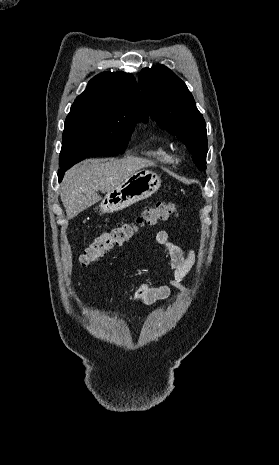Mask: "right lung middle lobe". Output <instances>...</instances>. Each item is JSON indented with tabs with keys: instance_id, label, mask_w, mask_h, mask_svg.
<instances>
[{
	"instance_id": "dd1d6c3e",
	"label": "right lung middle lobe",
	"mask_w": 279,
	"mask_h": 465,
	"mask_svg": "<svg viewBox=\"0 0 279 465\" xmlns=\"http://www.w3.org/2000/svg\"><path fill=\"white\" fill-rule=\"evenodd\" d=\"M134 119L106 122L99 126L65 128L60 152V170L92 156H117L126 149Z\"/></svg>"
}]
</instances>
